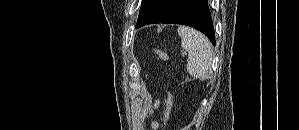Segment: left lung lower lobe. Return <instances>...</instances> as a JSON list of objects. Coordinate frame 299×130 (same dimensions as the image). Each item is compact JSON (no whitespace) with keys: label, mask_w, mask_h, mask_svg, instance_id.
Returning <instances> with one entry per match:
<instances>
[{"label":"left lung lower lobe","mask_w":299,"mask_h":130,"mask_svg":"<svg viewBox=\"0 0 299 130\" xmlns=\"http://www.w3.org/2000/svg\"><path fill=\"white\" fill-rule=\"evenodd\" d=\"M150 23H175L204 33L215 45L214 27L207 0H151L147 15L136 28Z\"/></svg>","instance_id":"1"}]
</instances>
